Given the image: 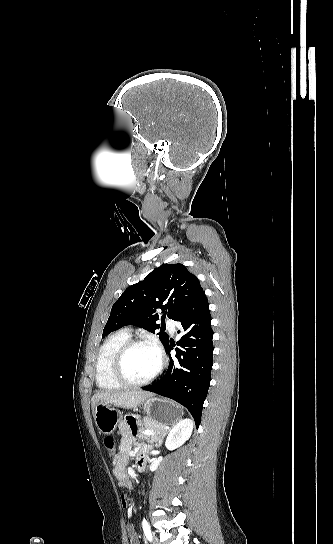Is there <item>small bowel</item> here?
Returning <instances> with one entry per match:
<instances>
[{
  "label": "small bowel",
  "mask_w": 333,
  "mask_h": 544,
  "mask_svg": "<svg viewBox=\"0 0 333 544\" xmlns=\"http://www.w3.org/2000/svg\"><path fill=\"white\" fill-rule=\"evenodd\" d=\"M120 439L118 444L117 453L113 458V473L115 478L118 480L120 486L129 488L131 486L128 472L127 464L129 458V452L131 450L132 444L136 440V425L133 421L128 420L120 423ZM140 447L145 450L147 443L145 441L140 442ZM121 505L123 508H126L129 504V499L127 496H121ZM128 539L130 544H138V538L133 525H127L126 527Z\"/></svg>",
  "instance_id": "c3829d8e"
}]
</instances>
